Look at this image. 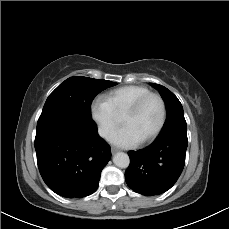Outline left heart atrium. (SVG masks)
<instances>
[{"label": "left heart atrium", "instance_id": "39dd6f15", "mask_svg": "<svg viewBox=\"0 0 229 229\" xmlns=\"http://www.w3.org/2000/svg\"><path fill=\"white\" fill-rule=\"evenodd\" d=\"M141 140V138L134 137L127 128L123 127L116 133L111 142L120 147L131 148L139 144Z\"/></svg>", "mask_w": 229, "mask_h": 229}]
</instances>
